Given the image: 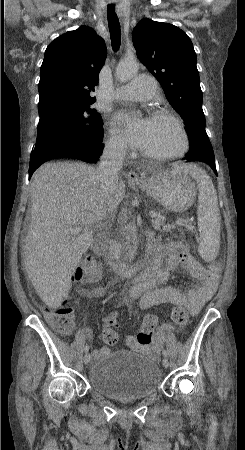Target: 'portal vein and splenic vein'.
<instances>
[{"mask_svg": "<svg viewBox=\"0 0 245 450\" xmlns=\"http://www.w3.org/2000/svg\"><path fill=\"white\" fill-rule=\"evenodd\" d=\"M149 216H150L151 218H155V217L157 216V214H156L155 212H153V211H150V212H149ZM82 230H83V228L80 227V226L75 227V228L71 229V234L77 235V234L80 233Z\"/></svg>", "mask_w": 245, "mask_h": 450, "instance_id": "portal-vein-and-splenic-vein-1", "label": "portal vein and splenic vein"}]
</instances>
